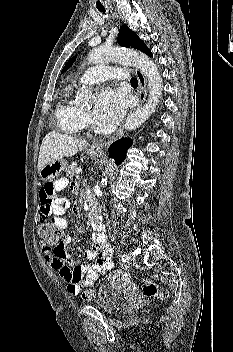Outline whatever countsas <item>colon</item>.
<instances>
[{
    "instance_id": "colon-1",
    "label": "colon",
    "mask_w": 233,
    "mask_h": 352,
    "mask_svg": "<svg viewBox=\"0 0 233 352\" xmlns=\"http://www.w3.org/2000/svg\"><path fill=\"white\" fill-rule=\"evenodd\" d=\"M38 235L46 246L59 244L62 241L63 231L53 224L43 222L38 227ZM143 292L148 297H156L163 299L164 294L159 286L151 280H144ZM83 298L90 300L94 297L93 290H86L83 292Z\"/></svg>"
}]
</instances>
